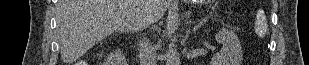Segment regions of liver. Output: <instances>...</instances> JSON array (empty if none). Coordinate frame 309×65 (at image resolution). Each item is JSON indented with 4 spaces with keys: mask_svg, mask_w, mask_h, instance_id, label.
<instances>
[{
    "mask_svg": "<svg viewBox=\"0 0 309 65\" xmlns=\"http://www.w3.org/2000/svg\"><path fill=\"white\" fill-rule=\"evenodd\" d=\"M168 0H58L61 59L73 63L113 32H136L158 21Z\"/></svg>",
    "mask_w": 309,
    "mask_h": 65,
    "instance_id": "6515ba94",
    "label": "liver"
}]
</instances>
